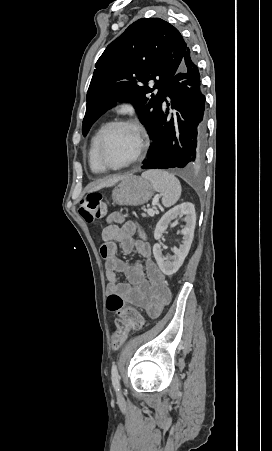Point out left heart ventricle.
Wrapping results in <instances>:
<instances>
[{
	"mask_svg": "<svg viewBox=\"0 0 272 451\" xmlns=\"http://www.w3.org/2000/svg\"><path fill=\"white\" fill-rule=\"evenodd\" d=\"M132 151V138L128 130L116 127L107 134L101 149L104 166L116 169L124 165Z\"/></svg>",
	"mask_w": 272,
	"mask_h": 451,
	"instance_id": "1",
	"label": "left heart ventricle"
}]
</instances>
